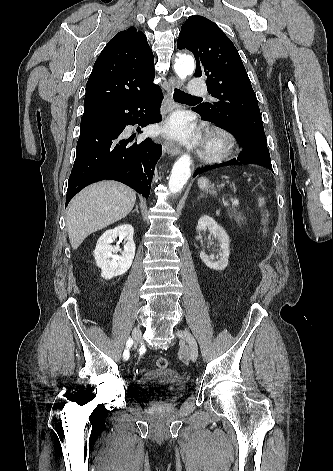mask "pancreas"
Segmentation results:
<instances>
[{
	"mask_svg": "<svg viewBox=\"0 0 333 471\" xmlns=\"http://www.w3.org/2000/svg\"><path fill=\"white\" fill-rule=\"evenodd\" d=\"M228 215L231 219H233L238 225H242L246 223L245 216L238 212L235 208L228 209Z\"/></svg>",
	"mask_w": 333,
	"mask_h": 471,
	"instance_id": "obj_1",
	"label": "pancreas"
}]
</instances>
